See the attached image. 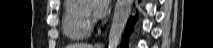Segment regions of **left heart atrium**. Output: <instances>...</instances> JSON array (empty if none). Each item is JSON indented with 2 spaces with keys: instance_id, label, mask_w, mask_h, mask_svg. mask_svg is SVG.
Masks as SVG:
<instances>
[{
  "instance_id": "left-heart-atrium-1",
  "label": "left heart atrium",
  "mask_w": 213,
  "mask_h": 48,
  "mask_svg": "<svg viewBox=\"0 0 213 48\" xmlns=\"http://www.w3.org/2000/svg\"><path fill=\"white\" fill-rule=\"evenodd\" d=\"M110 11V1L109 0H97L95 2V8L93 11V15L95 18H103Z\"/></svg>"
}]
</instances>
